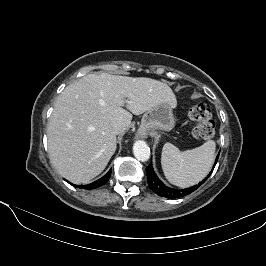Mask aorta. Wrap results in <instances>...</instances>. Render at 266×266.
<instances>
[{"mask_svg": "<svg viewBox=\"0 0 266 266\" xmlns=\"http://www.w3.org/2000/svg\"><path fill=\"white\" fill-rule=\"evenodd\" d=\"M134 156L140 161H147L150 157V149L146 142L138 140L133 145Z\"/></svg>", "mask_w": 266, "mask_h": 266, "instance_id": "aorta-1", "label": "aorta"}]
</instances>
